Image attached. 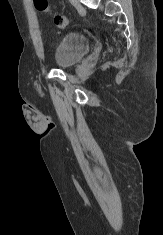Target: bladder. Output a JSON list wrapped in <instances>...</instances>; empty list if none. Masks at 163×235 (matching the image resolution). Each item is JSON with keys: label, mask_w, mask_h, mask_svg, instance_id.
<instances>
[{"label": "bladder", "mask_w": 163, "mask_h": 235, "mask_svg": "<svg viewBox=\"0 0 163 235\" xmlns=\"http://www.w3.org/2000/svg\"><path fill=\"white\" fill-rule=\"evenodd\" d=\"M90 40L77 32L65 34L58 43L54 61L58 68H70L78 64L90 50Z\"/></svg>", "instance_id": "31cf9c89"}]
</instances>
